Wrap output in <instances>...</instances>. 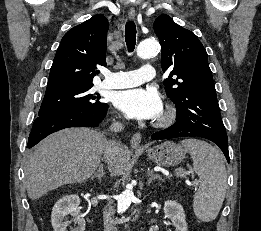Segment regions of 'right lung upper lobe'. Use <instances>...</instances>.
<instances>
[{
    "label": "right lung upper lobe",
    "instance_id": "right-lung-upper-lobe-1",
    "mask_svg": "<svg viewBox=\"0 0 261 231\" xmlns=\"http://www.w3.org/2000/svg\"><path fill=\"white\" fill-rule=\"evenodd\" d=\"M109 23L97 14L62 38L50 70L48 87L93 86L98 65L105 66Z\"/></svg>",
    "mask_w": 261,
    "mask_h": 231
}]
</instances>
